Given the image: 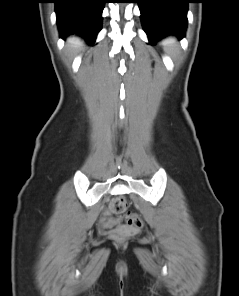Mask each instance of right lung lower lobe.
Returning a JSON list of instances; mask_svg holds the SVG:
<instances>
[{
    "label": "right lung lower lobe",
    "mask_w": 239,
    "mask_h": 296,
    "mask_svg": "<svg viewBox=\"0 0 239 296\" xmlns=\"http://www.w3.org/2000/svg\"><path fill=\"white\" fill-rule=\"evenodd\" d=\"M105 0H54L60 36L77 33L93 43L101 30Z\"/></svg>",
    "instance_id": "1"
}]
</instances>
